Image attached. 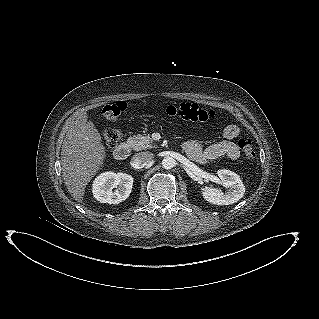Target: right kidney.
Instances as JSON below:
<instances>
[{"label":"right kidney","mask_w":319,"mask_h":319,"mask_svg":"<svg viewBox=\"0 0 319 319\" xmlns=\"http://www.w3.org/2000/svg\"><path fill=\"white\" fill-rule=\"evenodd\" d=\"M133 177L125 173L107 171L98 175L92 184V193L100 203L118 204L132 191Z\"/></svg>","instance_id":"ca27d5eb"}]
</instances>
